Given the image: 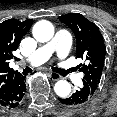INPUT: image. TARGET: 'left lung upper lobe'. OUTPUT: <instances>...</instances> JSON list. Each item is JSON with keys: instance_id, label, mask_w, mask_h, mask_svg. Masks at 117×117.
Instances as JSON below:
<instances>
[{"instance_id": "obj_1", "label": "left lung upper lobe", "mask_w": 117, "mask_h": 117, "mask_svg": "<svg viewBox=\"0 0 117 117\" xmlns=\"http://www.w3.org/2000/svg\"><path fill=\"white\" fill-rule=\"evenodd\" d=\"M75 34L77 57L85 60L78 66L84 73L83 85L94 95L100 84L104 67L106 47L99 28L79 13H70L59 17Z\"/></svg>"}]
</instances>
